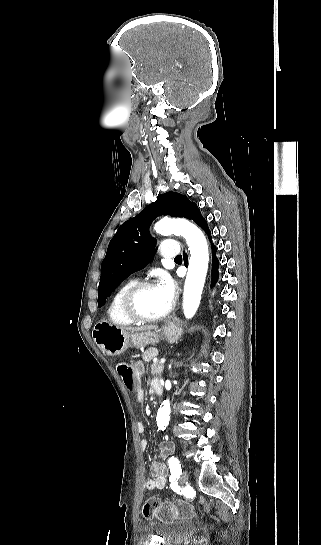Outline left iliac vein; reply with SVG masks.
Wrapping results in <instances>:
<instances>
[{"mask_svg": "<svg viewBox=\"0 0 321 545\" xmlns=\"http://www.w3.org/2000/svg\"><path fill=\"white\" fill-rule=\"evenodd\" d=\"M188 479H189V476H188V473L186 471H183L181 474H180V478H179V483L181 486H184L188 483Z\"/></svg>", "mask_w": 321, "mask_h": 545, "instance_id": "obj_1", "label": "left iliac vein"}]
</instances>
